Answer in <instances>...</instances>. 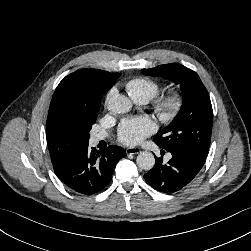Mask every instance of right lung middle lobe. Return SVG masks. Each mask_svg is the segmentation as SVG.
<instances>
[{
	"instance_id": "obj_1",
	"label": "right lung middle lobe",
	"mask_w": 251,
	"mask_h": 251,
	"mask_svg": "<svg viewBox=\"0 0 251 251\" xmlns=\"http://www.w3.org/2000/svg\"><path fill=\"white\" fill-rule=\"evenodd\" d=\"M100 102L101 101L99 99H94L86 104H82L80 112V120L82 128L85 133L86 143H88L90 137L89 131L91 130L92 125L96 122L99 112Z\"/></svg>"
}]
</instances>
